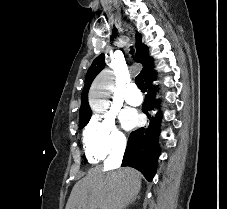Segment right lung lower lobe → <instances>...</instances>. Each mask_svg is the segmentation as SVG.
Here are the masks:
<instances>
[{"label": "right lung lower lobe", "mask_w": 227, "mask_h": 209, "mask_svg": "<svg viewBox=\"0 0 227 209\" xmlns=\"http://www.w3.org/2000/svg\"><path fill=\"white\" fill-rule=\"evenodd\" d=\"M156 79L154 73L145 80L149 96L142 105V111L147 113L157 107V100L154 98L157 88L152 85ZM153 96V97H152ZM161 117L159 114L150 119L149 126L132 132L129 136L127 148L124 154L122 166H131L141 171L148 181H152L157 166V158L160 155L158 137L160 133Z\"/></svg>", "instance_id": "1"}]
</instances>
